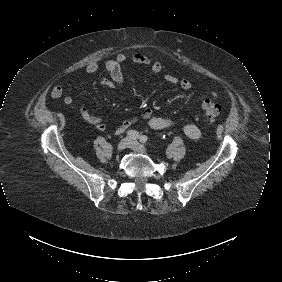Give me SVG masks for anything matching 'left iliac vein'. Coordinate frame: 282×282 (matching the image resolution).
I'll list each match as a JSON object with an SVG mask.
<instances>
[{"instance_id":"4c4485c4","label":"left iliac vein","mask_w":282,"mask_h":282,"mask_svg":"<svg viewBox=\"0 0 282 282\" xmlns=\"http://www.w3.org/2000/svg\"><path fill=\"white\" fill-rule=\"evenodd\" d=\"M130 148L136 152L146 153V148L135 140H131Z\"/></svg>"}]
</instances>
